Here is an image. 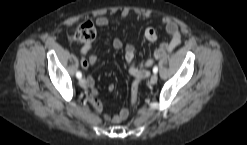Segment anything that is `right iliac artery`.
I'll return each mask as SVG.
<instances>
[{"mask_svg": "<svg viewBox=\"0 0 247 145\" xmlns=\"http://www.w3.org/2000/svg\"><path fill=\"white\" fill-rule=\"evenodd\" d=\"M76 77H77L78 79H80V78L82 77V74H81L80 71H78V72L76 73Z\"/></svg>", "mask_w": 247, "mask_h": 145, "instance_id": "1", "label": "right iliac artery"}]
</instances>
